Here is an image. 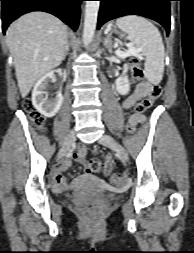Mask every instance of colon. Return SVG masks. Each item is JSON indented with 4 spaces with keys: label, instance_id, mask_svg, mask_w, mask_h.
I'll return each mask as SVG.
<instances>
[{
    "label": "colon",
    "instance_id": "colon-1",
    "mask_svg": "<svg viewBox=\"0 0 194 253\" xmlns=\"http://www.w3.org/2000/svg\"><path fill=\"white\" fill-rule=\"evenodd\" d=\"M129 65H130V67L133 71V74L136 78L140 79L143 77V69L140 64V61L137 58H132L129 61ZM145 81H147V80H145ZM160 93H161L160 87L158 85L153 86L150 94L146 98H144L143 100H141L140 102H138L136 104V106L133 109V112L131 114H129V118L133 114H140L141 115L144 112H146L153 105V103L157 100V98L160 96ZM24 108L29 113V117H30L32 124L34 126H36L37 128L43 129L44 128V118L39 113L34 111L33 104L31 102V100L26 99L24 101ZM127 123H128V125H127L128 130L131 133L134 132L135 126H133L129 122H127ZM86 155H87L86 149L84 147H81L78 150V152L75 154V158L78 162L82 163L85 166L87 172L100 173L104 169L102 162L96 158L87 160ZM110 180L112 183H115V184L119 183L122 181V175L120 173H113L110 176ZM84 207L88 211H94L96 209V207L93 204H85Z\"/></svg>",
    "mask_w": 194,
    "mask_h": 253
}]
</instances>
